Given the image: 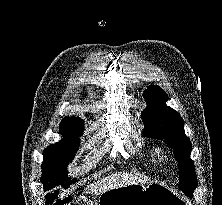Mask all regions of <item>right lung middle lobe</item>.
<instances>
[{
  "instance_id": "dd1d6c3e",
  "label": "right lung middle lobe",
  "mask_w": 222,
  "mask_h": 205,
  "mask_svg": "<svg viewBox=\"0 0 222 205\" xmlns=\"http://www.w3.org/2000/svg\"><path fill=\"white\" fill-rule=\"evenodd\" d=\"M84 131V124L60 125V133L64 138L44 150L41 182L47 185L68 187L77 181L68 177L67 166L78 150L80 141L77 139Z\"/></svg>"
}]
</instances>
